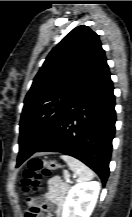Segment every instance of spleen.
Listing matches in <instances>:
<instances>
[{"label": "spleen", "mask_w": 132, "mask_h": 217, "mask_svg": "<svg viewBox=\"0 0 132 217\" xmlns=\"http://www.w3.org/2000/svg\"><path fill=\"white\" fill-rule=\"evenodd\" d=\"M61 159H63L68 164L69 168L78 176L79 182L93 179V171L80 160L68 155H62Z\"/></svg>", "instance_id": "obj_1"}]
</instances>
